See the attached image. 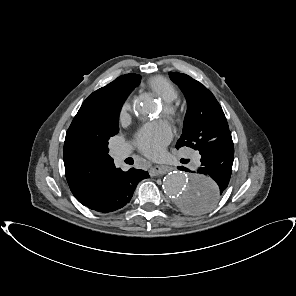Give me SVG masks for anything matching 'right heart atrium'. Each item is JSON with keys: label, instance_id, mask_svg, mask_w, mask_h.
Here are the masks:
<instances>
[{"label": "right heart atrium", "instance_id": "right-heart-atrium-1", "mask_svg": "<svg viewBox=\"0 0 296 296\" xmlns=\"http://www.w3.org/2000/svg\"><path fill=\"white\" fill-rule=\"evenodd\" d=\"M131 110H132L131 102L129 100H126L122 104L120 111H119V119L121 122H124L129 118Z\"/></svg>", "mask_w": 296, "mask_h": 296}]
</instances>
